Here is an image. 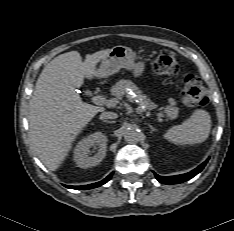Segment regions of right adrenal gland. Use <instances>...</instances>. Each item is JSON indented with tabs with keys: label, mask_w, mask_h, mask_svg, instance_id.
Masks as SVG:
<instances>
[{
	"label": "right adrenal gland",
	"mask_w": 234,
	"mask_h": 231,
	"mask_svg": "<svg viewBox=\"0 0 234 231\" xmlns=\"http://www.w3.org/2000/svg\"><path fill=\"white\" fill-rule=\"evenodd\" d=\"M103 122L112 123L113 121L103 120Z\"/></svg>",
	"instance_id": "2a0ac1e0"
}]
</instances>
